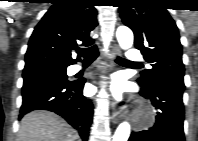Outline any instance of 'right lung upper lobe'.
<instances>
[{"mask_svg": "<svg viewBox=\"0 0 198 141\" xmlns=\"http://www.w3.org/2000/svg\"><path fill=\"white\" fill-rule=\"evenodd\" d=\"M92 0H58L31 35L24 72L75 64L72 51L93 44L90 32L98 25Z\"/></svg>", "mask_w": 198, "mask_h": 141, "instance_id": "obj_1", "label": "right lung upper lobe"}]
</instances>
